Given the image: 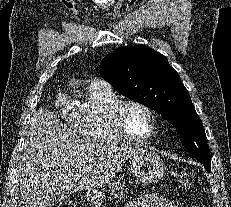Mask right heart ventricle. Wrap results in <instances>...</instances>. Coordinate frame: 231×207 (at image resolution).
Segmentation results:
<instances>
[{
    "label": "right heart ventricle",
    "mask_w": 231,
    "mask_h": 207,
    "mask_svg": "<svg viewBox=\"0 0 231 207\" xmlns=\"http://www.w3.org/2000/svg\"><path fill=\"white\" fill-rule=\"evenodd\" d=\"M89 104L75 113L74 127L81 137L96 142H120V135L111 120V112L120 101L109 85L90 86Z\"/></svg>",
    "instance_id": "obj_1"
}]
</instances>
